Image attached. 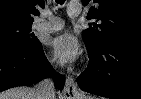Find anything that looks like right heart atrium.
Wrapping results in <instances>:
<instances>
[{
    "instance_id": "obj_1",
    "label": "right heart atrium",
    "mask_w": 141,
    "mask_h": 99,
    "mask_svg": "<svg viewBox=\"0 0 141 99\" xmlns=\"http://www.w3.org/2000/svg\"><path fill=\"white\" fill-rule=\"evenodd\" d=\"M49 64H50V66H51L52 68L55 67V61H54L53 59H50V60H49Z\"/></svg>"
}]
</instances>
